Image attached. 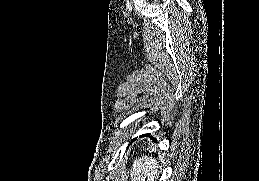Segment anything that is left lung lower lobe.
Masks as SVG:
<instances>
[{
  "label": "left lung lower lobe",
  "instance_id": "left-lung-lower-lobe-1",
  "mask_svg": "<svg viewBox=\"0 0 259 181\" xmlns=\"http://www.w3.org/2000/svg\"><path fill=\"white\" fill-rule=\"evenodd\" d=\"M142 136H144V135H142ZM145 136H149V134H145Z\"/></svg>",
  "mask_w": 259,
  "mask_h": 181
}]
</instances>
